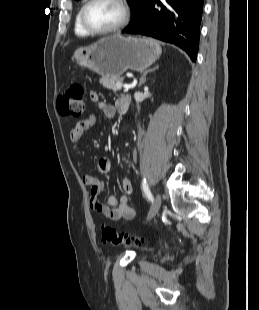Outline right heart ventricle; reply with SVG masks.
I'll list each match as a JSON object with an SVG mask.
<instances>
[{"label":"right heart ventricle","mask_w":259,"mask_h":310,"mask_svg":"<svg viewBox=\"0 0 259 310\" xmlns=\"http://www.w3.org/2000/svg\"><path fill=\"white\" fill-rule=\"evenodd\" d=\"M80 10L77 12L74 20V32L79 37H87L90 34L82 27L80 22Z\"/></svg>","instance_id":"right-heart-ventricle-1"}]
</instances>
